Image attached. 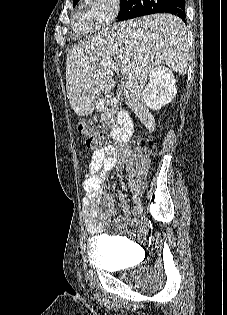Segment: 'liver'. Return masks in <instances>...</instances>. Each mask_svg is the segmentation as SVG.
I'll list each match as a JSON object with an SVG mask.
<instances>
[{
    "label": "liver",
    "mask_w": 227,
    "mask_h": 315,
    "mask_svg": "<svg viewBox=\"0 0 227 315\" xmlns=\"http://www.w3.org/2000/svg\"><path fill=\"white\" fill-rule=\"evenodd\" d=\"M190 53L186 26L177 16L154 14L115 24L72 48L66 59V91L79 116L91 115L96 95L111 93L114 70L106 62L127 67L126 104L154 131L155 120L143 100L151 72L161 64L179 75L187 72Z\"/></svg>",
    "instance_id": "liver-1"
}]
</instances>
